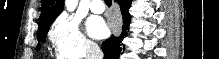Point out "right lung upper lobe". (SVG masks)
<instances>
[{
  "label": "right lung upper lobe",
  "mask_w": 219,
  "mask_h": 59,
  "mask_svg": "<svg viewBox=\"0 0 219 59\" xmlns=\"http://www.w3.org/2000/svg\"><path fill=\"white\" fill-rule=\"evenodd\" d=\"M64 0H43L38 20L39 28L49 26L63 11Z\"/></svg>",
  "instance_id": "1"
}]
</instances>
